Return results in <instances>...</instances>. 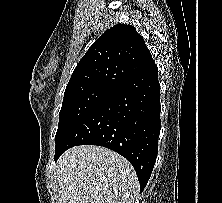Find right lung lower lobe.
I'll return each mask as SVG.
<instances>
[{
	"label": "right lung lower lobe",
	"mask_w": 222,
	"mask_h": 203,
	"mask_svg": "<svg viewBox=\"0 0 222 203\" xmlns=\"http://www.w3.org/2000/svg\"><path fill=\"white\" fill-rule=\"evenodd\" d=\"M160 127V85L152 63L67 130L56 142L55 160L77 145L109 148L130 161L142 192L156 161Z\"/></svg>",
	"instance_id": "98d812e1"
}]
</instances>
